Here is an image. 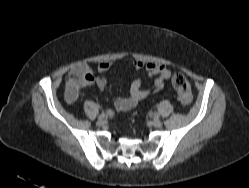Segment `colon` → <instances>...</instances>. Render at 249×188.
Returning <instances> with one entry per match:
<instances>
[{"label":"colon","instance_id":"5ec220e1","mask_svg":"<svg viewBox=\"0 0 249 188\" xmlns=\"http://www.w3.org/2000/svg\"><path fill=\"white\" fill-rule=\"evenodd\" d=\"M75 75L78 76L77 70H74ZM172 86L178 94L179 100L182 104H189L192 101L191 85L187 78L181 74L176 73L172 77Z\"/></svg>","mask_w":249,"mask_h":188}]
</instances>
